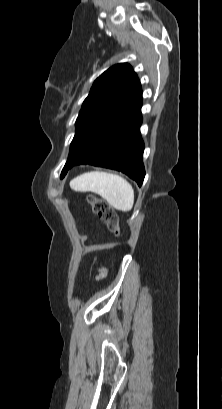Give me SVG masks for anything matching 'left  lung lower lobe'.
Instances as JSON below:
<instances>
[{"label":"left lung lower lobe","mask_w":222,"mask_h":409,"mask_svg":"<svg viewBox=\"0 0 222 409\" xmlns=\"http://www.w3.org/2000/svg\"><path fill=\"white\" fill-rule=\"evenodd\" d=\"M141 101H133L119 117L103 128L84 151L70 163L95 165L121 171L139 186L145 176L142 155L144 144L140 136Z\"/></svg>","instance_id":"left-lung-lower-lobe-1"}]
</instances>
